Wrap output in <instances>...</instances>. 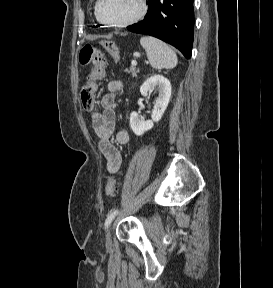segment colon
<instances>
[{
	"label": "colon",
	"mask_w": 273,
	"mask_h": 288,
	"mask_svg": "<svg viewBox=\"0 0 273 288\" xmlns=\"http://www.w3.org/2000/svg\"><path fill=\"white\" fill-rule=\"evenodd\" d=\"M104 48L107 53L115 60L120 57L119 49L114 42L107 41L104 44ZM79 62L82 65H92V71L88 77L87 82L84 84L80 91V100L82 107L91 111L94 108L95 102V81L101 79L105 73V57L101 50L98 48L86 44L82 47L79 53ZM118 190L117 180L113 177H109L105 186V193L107 197H115Z\"/></svg>",
	"instance_id": "colon-1"
}]
</instances>
